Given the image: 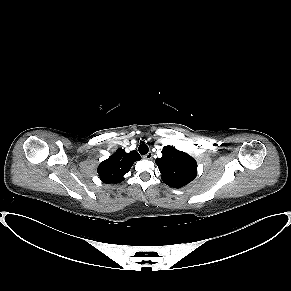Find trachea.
<instances>
[{"label":"trachea","instance_id":"obj_1","mask_svg":"<svg viewBox=\"0 0 291 291\" xmlns=\"http://www.w3.org/2000/svg\"><path fill=\"white\" fill-rule=\"evenodd\" d=\"M138 150H139V153H140V154L145 155V154L148 153L149 148H148V145H147V144H144V143H143V144H141V145L139 146Z\"/></svg>","mask_w":291,"mask_h":291}]
</instances>
